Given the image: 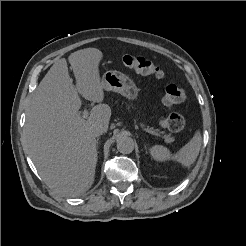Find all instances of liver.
<instances>
[{"instance_id": "obj_1", "label": "liver", "mask_w": 246, "mask_h": 246, "mask_svg": "<svg viewBox=\"0 0 246 246\" xmlns=\"http://www.w3.org/2000/svg\"><path fill=\"white\" fill-rule=\"evenodd\" d=\"M103 53L86 48L53 64L37 87L26 112L24 143L41 178L54 191L79 196L93 184L97 164L96 139L91 130L108 128L111 109L104 100L99 63ZM81 94L97 102L88 118L80 115Z\"/></svg>"}]
</instances>
